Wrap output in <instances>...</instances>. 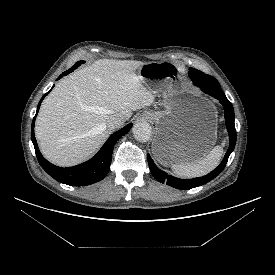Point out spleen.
Listing matches in <instances>:
<instances>
[{
	"mask_svg": "<svg viewBox=\"0 0 275 275\" xmlns=\"http://www.w3.org/2000/svg\"><path fill=\"white\" fill-rule=\"evenodd\" d=\"M223 147L215 146L204 158L191 163H176L171 166L178 177L193 178L203 176L212 171L220 162Z\"/></svg>",
	"mask_w": 275,
	"mask_h": 275,
	"instance_id": "1",
	"label": "spleen"
}]
</instances>
